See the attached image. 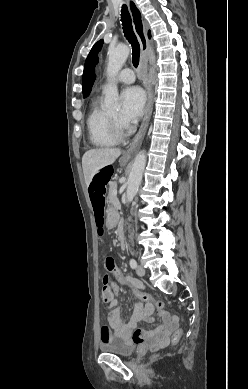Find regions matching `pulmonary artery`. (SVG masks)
<instances>
[{"label": "pulmonary artery", "instance_id": "e3ab8cb5", "mask_svg": "<svg viewBox=\"0 0 248 389\" xmlns=\"http://www.w3.org/2000/svg\"><path fill=\"white\" fill-rule=\"evenodd\" d=\"M135 80V73L133 70L126 68L123 69L117 76V81L123 83H132Z\"/></svg>", "mask_w": 248, "mask_h": 389}]
</instances>
